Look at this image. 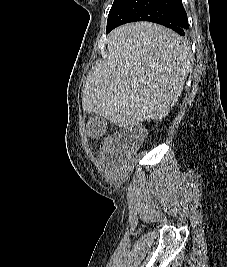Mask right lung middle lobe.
I'll list each match as a JSON object with an SVG mask.
<instances>
[{
	"instance_id": "1",
	"label": "right lung middle lobe",
	"mask_w": 227,
	"mask_h": 267,
	"mask_svg": "<svg viewBox=\"0 0 227 267\" xmlns=\"http://www.w3.org/2000/svg\"><path fill=\"white\" fill-rule=\"evenodd\" d=\"M126 1L127 0H114V3L108 15L107 25L114 19L115 15Z\"/></svg>"
}]
</instances>
